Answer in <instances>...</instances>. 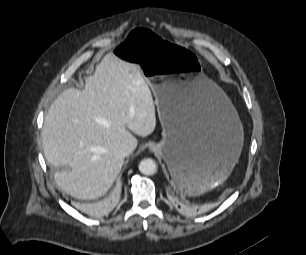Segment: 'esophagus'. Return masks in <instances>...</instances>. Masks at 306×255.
Masks as SVG:
<instances>
[{"label":"esophagus","instance_id":"34e87169","mask_svg":"<svg viewBox=\"0 0 306 255\" xmlns=\"http://www.w3.org/2000/svg\"><path fill=\"white\" fill-rule=\"evenodd\" d=\"M150 149H151V150H154L153 146H152V147H150Z\"/></svg>","mask_w":306,"mask_h":255}]
</instances>
